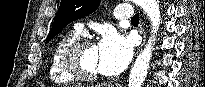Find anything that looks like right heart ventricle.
Masks as SVG:
<instances>
[{
	"instance_id": "obj_1",
	"label": "right heart ventricle",
	"mask_w": 205,
	"mask_h": 87,
	"mask_svg": "<svg viewBox=\"0 0 205 87\" xmlns=\"http://www.w3.org/2000/svg\"><path fill=\"white\" fill-rule=\"evenodd\" d=\"M80 38V33L70 31L62 35L55 43L49 63V77L54 84L66 85L75 79L70 76L61 64V56L65 48Z\"/></svg>"
}]
</instances>
